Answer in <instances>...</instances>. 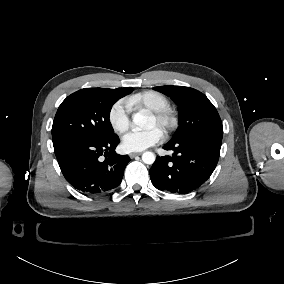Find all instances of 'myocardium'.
Returning a JSON list of instances; mask_svg holds the SVG:
<instances>
[{
	"instance_id": "myocardium-1",
	"label": "myocardium",
	"mask_w": 284,
	"mask_h": 284,
	"mask_svg": "<svg viewBox=\"0 0 284 284\" xmlns=\"http://www.w3.org/2000/svg\"><path fill=\"white\" fill-rule=\"evenodd\" d=\"M156 127L163 134L167 135L172 128L173 119L167 110L154 112L153 115Z\"/></svg>"
}]
</instances>
